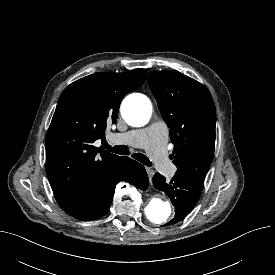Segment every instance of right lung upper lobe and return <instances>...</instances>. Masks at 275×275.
<instances>
[{
  "instance_id": "right-lung-upper-lobe-1",
  "label": "right lung upper lobe",
  "mask_w": 275,
  "mask_h": 275,
  "mask_svg": "<svg viewBox=\"0 0 275 275\" xmlns=\"http://www.w3.org/2000/svg\"><path fill=\"white\" fill-rule=\"evenodd\" d=\"M146 69L100 72L62 92L46 135V172L60 207L79 210L91 190L108 179L122 157L98 150L108 125L117 122L122 98L146 80Z\"/></svg>"
}]
</instances>
